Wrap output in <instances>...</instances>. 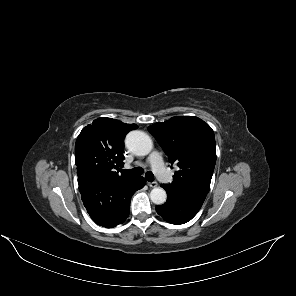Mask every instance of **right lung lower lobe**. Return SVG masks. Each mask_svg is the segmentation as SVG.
<instances>
[{
    "label": "right lung lower lobe",
    "mask_w": 296,
    "mask_h": 296,
    "mask_svg": "<svg viewBox=\"0 0 296 296\" xmlns=\"http://www.w3.org/2000/svg\"><path fill=\"white\" fill-rule=\"evenodd\" d=\"M81 199L92 220L103 227L122 224L129 215L132 195L145 186L143 177L121 182H102L86 172H77Z\"/></svg>",
    "instance_id": "98d812e1"
}]
</instances>
